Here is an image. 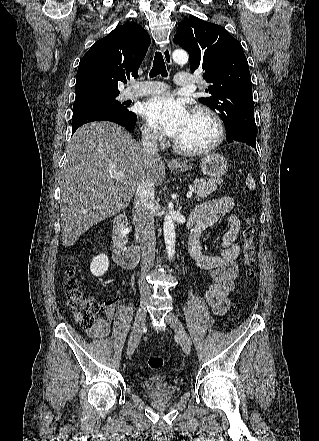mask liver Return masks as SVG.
I'll return each instance as SVG.
<instances>
[{
    "instance_id": "1",
    "label": "liver",
    "mask_w": 319,
    "mask_h": 441,
    "mask_svg": "<svg viewBox=\"0 0 319 441\" xmlns=\"http://www.w3.org/2000/svg\"><path fill=\"white\" fill-rule=\"evenodd\" d=\"M114 171L125 176L118 180ZM164 179L163 161L146 157L123 127L105 121L81 126L59 177L63 245L72 246L90 227L127 208L147 180L160 186Z\"/></svg>"
}]
</instances>
